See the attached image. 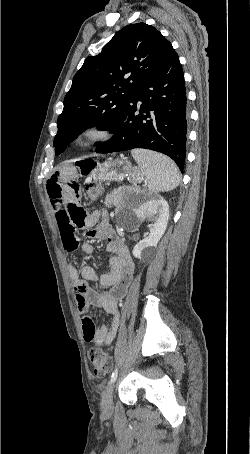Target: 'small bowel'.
Instances as JSON below:
<instances>
[{
	"label": "small bowel",
	"instance_id": "obj_1",
	"mask_svg": "<svg viewBox=\"0 0 250 454\" xmlns=\"http://www.w3.org/2000/svg\"><path fill=\"white\" fill-rule=\"evenodd\" d=\"M47 191L65 250L72 252L80 245L85 253L93 251L91 244H81L77 229L86 230L85 236L88 238L107 241L106 250L111 255L109 273L97 276L93 268H78L73 264L68 269L81 314L84 340L97 346H108L116 336L120 319L119 304L133 277L129 251L113 232L104 212L88 213L80 204L81 185L78 180L64 174L54 175L47 182ZM91 305L102 308L110 315L107 325L95 326L88 315Z\"/></svg>",
	"mask_w": 250,
	"mask_h": 454
}]
</instances>
